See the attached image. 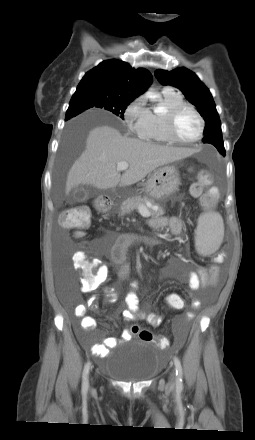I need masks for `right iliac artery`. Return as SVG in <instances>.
Here are the masks:
<instances>
[{
  "label": "right iliac artery",
  "instance_id": "82829eb1",
  "mask_svg": "<svg viewBox=\"0 0 255 440\" xmlns=\"http://www.w3.org/2000/svg\"><path fill=\"white\" fill-rule=\"evenodd\" d=\"M90 370V362H87L84 366L83 370V380H82V393L85 395L88 391L89 387V381H88V374Z\"/></svg>",
  "mask_w": 255,
  "mask_h": 440
}]
</instances>
